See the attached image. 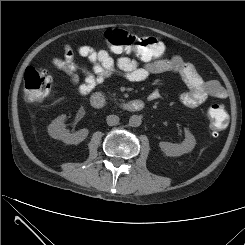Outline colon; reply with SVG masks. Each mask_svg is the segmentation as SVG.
<instances>
[{"instance_id": "colon-1", "label": "colon", "mask_w": 245, "mask_h": 245, "mask_svg": "<svg viewBox=\"0 0 245 245\" xmlns=\"http://www.w3.org/2000/svg\"><path fill=\"white\" fill-rule=\"evenodd\" d=\"M106 44L116 52L133 53L145 62L160 59L165 48L162 42L150 36H138L127 30L113 29L104 34ZM54 85L52 76L45 70L28 67L24 74L26 98L40 103L50 93ZM209 126L214 135L223 131L227 125L228 114L223 104H212L207 112Z\"/></svg>"}]
</instances>
